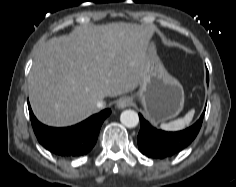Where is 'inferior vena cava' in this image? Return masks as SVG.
<instances>
[{"label": "inferior vena cava", "mask_w": 236, "mask_h": 187, "mask_svg": "<svg viewBox=\"0 0 236 187\" xmlns=\"http://www.w3.org/2000/svg\"><path fill=\"white\" fill-rule=\"evenodd\" d=\"M96 106L98 109H103L106 106V102L103 100H100L96 103Z\"/></svg>", "instance_id": "602c4592"}]
</instances>
